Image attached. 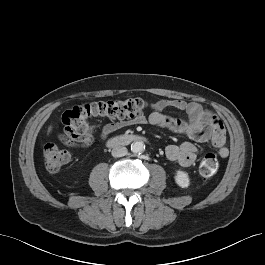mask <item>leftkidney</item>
Returning a JSON list of instances; mask_svg holds the SVG:
<instances>
[{
    "label": "left kidney",
    "instance_id": "1",
    "mask_svg": "<svg viewBox=\"0 0 265 265\" xmlns=\"http://www.w3.org/2000/svg\"><path fill=\"white\" fill-rule=\"evenodd\" d=\"M175 181H176L177 185H179L182 188L188 187L189 183H190L188 173H186L182 170H178L176 172V175H175Z\"/></svg>",
    "mask_w": 265,
    "mask_h": 265
}]
</instances>
